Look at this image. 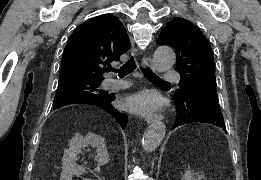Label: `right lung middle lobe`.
<instances>
[{"label":"right lung middle lobe","instance_id":"1","mask_svg":"<svg viewBox=\"0 0 261 180\" xmlns=\"http://www.w3.org/2000/svg\"><path fill=\"white\" fill-rule=\"evenodd\" d=\"M101 82L102 80L82 79L59 81L58 90L54 98V108H59L62 103L75 97H87L91 99L100 97L106 93L97 89Z\"/></svg>","mask_w":261,"mask_h":180}]
</instances>
